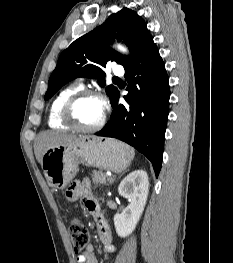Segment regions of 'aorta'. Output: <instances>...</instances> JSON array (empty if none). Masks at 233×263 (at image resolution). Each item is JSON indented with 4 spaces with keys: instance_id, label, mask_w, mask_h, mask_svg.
<instances>
[{
    "instance_id": "762f6f07",
    "label": "aorta",
    "mask_w": 233,
    "mask_h": 263,
    "mask_svg": "<svg viewBox=\"0 0 233 263\" xmlns=\"http://www.w3.org/2000/svg\"><path fill=\"white\" fill-rule=\"evenodd\" d=\"M118 50L121 51V52H126V49L120 45H118Z\"/></svg>"
}]
</instances>
